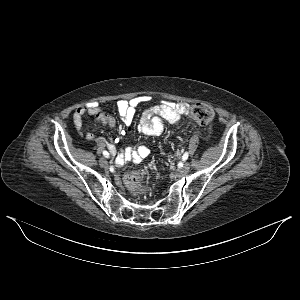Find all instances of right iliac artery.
Listing matches in <instances>:
<instances>
[{"label":"right iliac artery","mask_w":300,"mask_h":300,"mask_svg":"<svg viewBox=\"0 0 300 300\" xmlns=\"http://www.w3.org/2000/svg\"><path fill=\"white\" fill-rule=\"evenodd\" d=\"M103 155L108 158L109 157V153L107 151H103Z\"/></svg>","instance_id":"obj_1"}]
</instances>
